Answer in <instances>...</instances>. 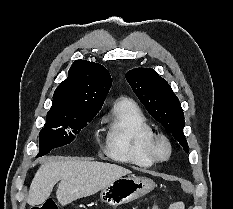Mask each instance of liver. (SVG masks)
<instances>
[{"label": "liver", "instance_id": "1", "mask_svg": "<svg viewBox=\"0 0 233 209\" xmlns=\"http://www.w3.org/2000/svg\"><path fill=\"white\" fill-rule=\"evenodd\" d=\"M128 174H131L129 169L112 163L76 158L49 160L35 174L27 203L31 206L44 203L54 185L60 181L56 197L62 206H66L77 199L97 193L114 180Z\"/></svg>", "mask_w": 233, "mask_h": 209}]
</instances>
